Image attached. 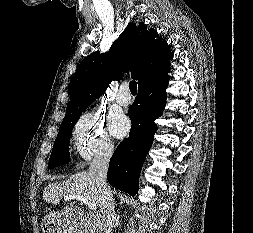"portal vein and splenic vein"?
I'll list each match as a JSON object with an SVG mask.
<instances>
[{
    "label": "portal vein and splenic vein",
    "instance_id": "obj_1",
    "mask_svg": "<svg viewBox=\"0 0 253 233\" xmlns=\"http://www.w3.org/2000/svg\"><path fill=\"white\" fill-rule=\"evenodd\" d=\"M64 200L69 201V200H78L80 201L82 204H86L90 210L95 211L97 209L96 204L89 202L87 200V198H85L84 196H80V195H69V196H64Z\"/></svg>",
    "mask_w": 253,
    "mask_h": 233
}]
</instances>
